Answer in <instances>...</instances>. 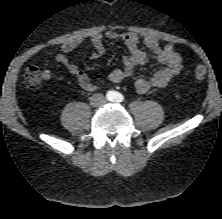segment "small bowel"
Listing matches in <instances>:
<instances>
[{
    "label": "small bowel",
    "instance_id": "small-bowel-1",
    "mask_svg": "<svg viewBox=\"0 0 222 219\" xmlns=\"http://www.w3.org/2000/svg\"><path fill=\"white\" fill-rule=\"evenodd\" d=\"M104 39L121 41L127 46L129 51L128 55L123 58L122 67L114 69L109 73L108 78L111 82L119 83L133 77L135 68L146 62L147 53L142 49L141 43L150 52L152 59L161 65V68L151 77L142 75L134 77V86L138 93L143 94L151 89L166 87L183 70L181 57L175 51L172 44L162 45L155 36L150 34L145 35L141 40L140 36L135 32L109 30L105 33L93 34L90 37V43L93 46L92 58H98L105 54ZM82 43V39L65 42L62 45V52L55 55V60L66 67L82 90L92 92L97 89L96 83L66 56L67 53L74 51ZM51 77V70H43L42 78L44 81H49Z\"/></svg>",
    "mask_w": 222,
    "mask_h": 219
}]
</instances>
